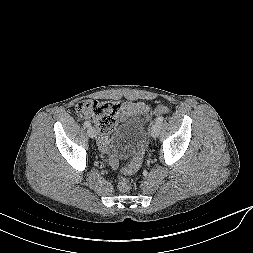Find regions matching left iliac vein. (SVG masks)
<instances>
[{
  "label": "left iliac vein",
  "instance_id": "left-iliac-vein-1",
  "mask_svg": "<svg viewBox=\"0 0 253 253\" xmlns=\"http://www.w3.org/2000/svg\"><path fill=\"white\" fill-rule=\"evenodd\" d=\"M160 129H161V125L158 124V123H155V124L151 127V131H150L151 136H152L153 138L158 137V135H159V133H160Z\"/></svg>",
  "mask_w": 253,
  "mask_h": 253
}]
</instances>
